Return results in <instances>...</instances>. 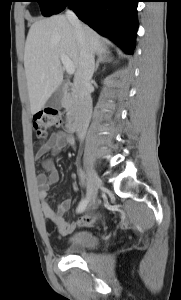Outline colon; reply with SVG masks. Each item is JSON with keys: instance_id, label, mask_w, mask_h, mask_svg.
<instances>
[{"instance_id": "5ec220e1", "label": "colon", "mask_w": 181, "mask_h": 300, "mask_svg": "<svg viewBox=\"0 0 181 300\" xmlns=\"http://www.w3.org/2000/svg\"><path fill=\"white\" fill-rule=\"evenodd\" d=\"M63 124L61 113L55 108H45L33 116V127L40 141H44L50 128Z\"/></svg>"}]
</instances>
